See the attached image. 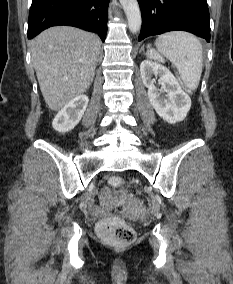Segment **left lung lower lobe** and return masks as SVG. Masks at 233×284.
<instances>
[{"instance_id":"0a47b994","label":"left lung lower lobe","mask_w":233,"mask_h":284,"mask_svg":"<svg viewBox=\"0 0 233 284\" xmlns=\"http://www.w3.org/2000/svg\"><path fill=\"white\" fill-rule=\"evenodd\" d=\"M142 13L139 41L168 31L191 32L210 41L206 0H138Z\"/></svg>"}]
</instances>
